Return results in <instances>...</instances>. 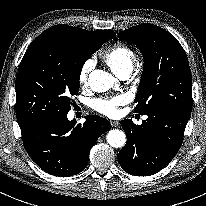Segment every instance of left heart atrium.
Listing matches in <instances>:
<instances>
[{"label":"left heart atrium","mask_w":206,"mask_h":206,"mask_svg":"<svg viewBox=\"0 0 206 206\" xmlns=\"http://www.w3.org/2000/svg\"><path fill=\"white\" fill-rule=\"evenodd\" d=\"M129 97L126 94H120L112 98L97 99L93 103V108L108 117H115L119 115V107L126 104Z\"/></svg>","instance_id":"left-heart-atrium-1"}]
</instances>
